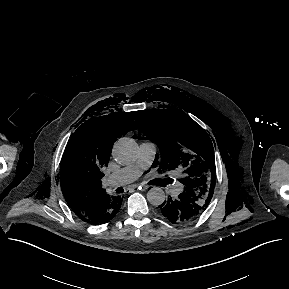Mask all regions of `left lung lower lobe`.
I'll return each mask as SVG.
<instances>
[{"label":"left lung lower lobe","instance_id":"0a47b994","mask_svg":"<svg viewBox=\"0 0 289 289\" xmlns=\"http://www.w3.org/2000/svg\"><path fill=\"white\" fill-rule=\"evenodd\" d=\"M200 195V194H199ZM208 205L198 194L182 192L176 198H168L159 207L162 215L172 223H187L200 216Z\"/></svg>","mask_w":289,"mask_h":289}]
</instances>
